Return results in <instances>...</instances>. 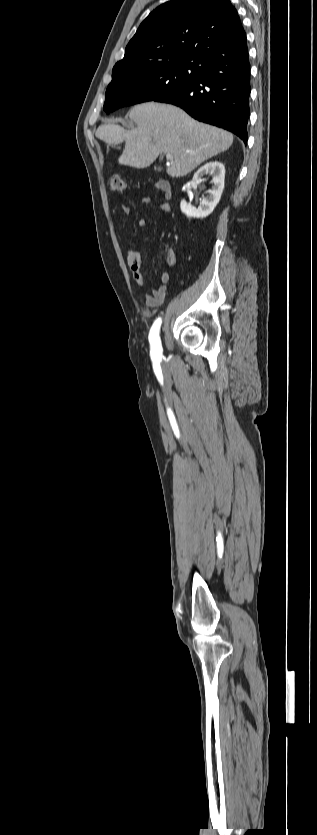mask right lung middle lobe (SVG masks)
I'll list each match as a JSON object with an SVG mask.
<instances>
[{
  "label": "right lung middle lobe",
  "mask_w": 317,
  "mask_h": 835,
  "mask_svg": "<svg viewBox=\"0 0 317 835\" xmlns=\"http://www.w3.org/2000/svg\"><path fill=\"white\" fill-rule=\"evenodd\" d=\"M199 60L160 64L136 72L112 74L103 109L107 114L123 107L152 101L194 80Z\"/></svg>",
  "instance_id": "dd1d6c3e"
}]
</instances>
